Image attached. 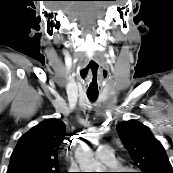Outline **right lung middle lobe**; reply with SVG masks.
Wrapping results in <instances>:
<instances>
[{
	"mask_svg": "<svg viewBox=\"0 0 173 173\" xmlns=\"http://www.w3.org/2000/svg\"><path fill=\"white\" fill-rule=\"evenodd\" d=\"M20 173H60L59 171H20Z\"/></svg>",
	"mask_w": 173,
	"mask_h": 173,
	"instance_id": "obj_1",
	"label": "right lung middle lobe"
}]
</instances>
